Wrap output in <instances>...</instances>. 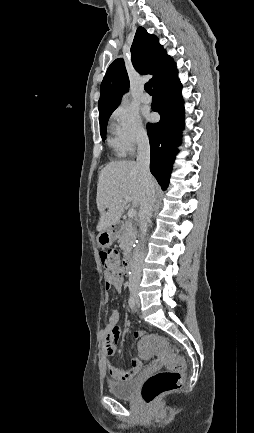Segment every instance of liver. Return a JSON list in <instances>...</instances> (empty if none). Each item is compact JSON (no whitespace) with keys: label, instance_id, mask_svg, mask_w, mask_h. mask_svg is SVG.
<instances>
[{"label":"liver","instance_id":"obj_1","mask_svg":"<svg viewBox=\"0 0 254 433\" xmlns=\"http://www.w3.org/2000/svg\"><path fill=\"white\" fill-rule=\"evenodd\" d=\"M125 195L131 198L134 207L141 205L143 179L140 169L134 161L111 162L101 170L97 184L96 202L100 213L96 228L98 232L119 222L127 207Z\"/></svg>","mask_w":254,"mask_h":433}]
</instances>
